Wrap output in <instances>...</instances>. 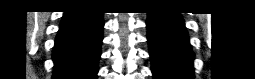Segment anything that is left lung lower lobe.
I'll return each instance as SVG.
<instances>
[{"mask_svg": "<svg viewBox=\"0 0 255 79\" xmlns=\"http://www.w3.org/2000/svg\"><path fill=\"white\" fill-rule=\"evenodd\" d=\"M147 28L154 79H193V53L180 15L150 12Z\"/></svg>", "mask_w": 255, "mask_h": 79, "instance_id": "0a47b994", "label": "left lung lower lobe"}]
</instances>
